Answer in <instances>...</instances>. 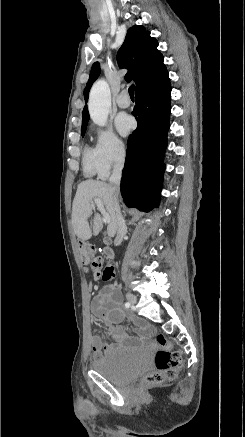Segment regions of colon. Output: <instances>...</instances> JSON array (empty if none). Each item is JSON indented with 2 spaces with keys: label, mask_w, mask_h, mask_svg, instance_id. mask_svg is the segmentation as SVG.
I'll return each instance as SVG.
<instances>
[{
  "label": "colon",
  "mask_w": 245,
  "mask_h": 437,
  "mask_svg": "<svg viewBox=\"0 0 245 437\" xmlns=\"http://www.w3.org/2000/svg\"><path fill=\"white\" fill-rule=\"evenodd\" d=\"M81 260L87 272H92L96 278L108 281L114 276L111 265L104 264L102 256L91 245L81 246ZM157 352L155 355V370L145 378L148 383H162L172 380L182 364L181 355L172 351L171 343L163 334H158L155 340Z\"/></svg>",
  "instance_id": "5ec220e1"
}]
</instances>
